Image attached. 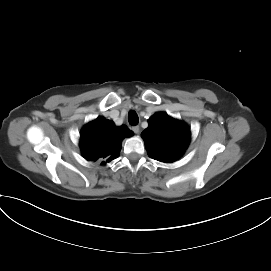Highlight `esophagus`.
Listing matches in <instances>:
<instances>
[{
    "instance_id": "1",
    "label": "esophagus",
    "mask_w": 271,
    "mask_h": 271,
    "mask_svg": "<svg viewBox=\"0 0 271 271\" xmlns=\"http://www.w3.org/2000/svg\"><path fill=\"white\" fill-rule=\"evenodd\" d=\"M132 130H133V132H134L135 134H139V132H140L139 126H134V127H132Z\"/></svg>"
}]
</instances>
